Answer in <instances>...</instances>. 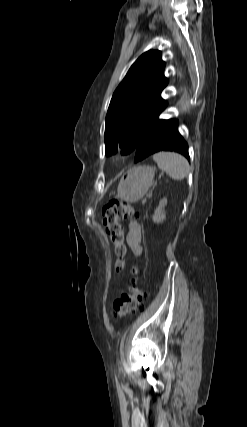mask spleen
<instances>
[{
    "label": "spleen",
    "instance_id": "1",
    "mask_svg": "<svg viewBox=\"0 0 247 427\" xmlns=\"http://www.w3.org/2000/svg\"><path fill=\"white\" fill-rule=\"evenodd\" d=\"M158 167L172 179L182 180L189 173V164L180 154L174 152H159L153 156Z\"/></svg>",
    "mask_w": 247,
    "mask_h": 427
}]
</instances>
